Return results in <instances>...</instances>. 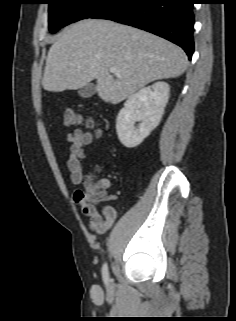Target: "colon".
I'll return each instance as SVG.
<instances>
[{"label": "colon", "mask_w": 236, "mask_h": 321, "mask_svg": "<svg viewBox=\"0 0 236 321\" xmlns=\"http://www.w3.org/2000/svg\"><path fill=\"white\" fill-rule=\"evenodd\" d=\"M64 123L67 126H77L83 122V119L80 115L74 112L71 109H66L63 114ZM87 126L92 127V121H86ZM77 194L84 199L85 201L96 205L103 203L107 200V194L104 189L99 185L98 182H95L92 176H89L86 179V182L83 188L76 190Z\"/></svg>", "instance_id": "colon-1"}]
</instances>
